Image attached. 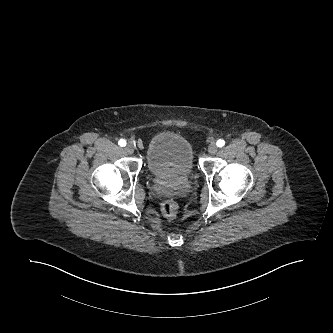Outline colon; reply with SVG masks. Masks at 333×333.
Instances as JSON below:
<instances>
[{"mask_svg":"<svg viewBox=\"0 0 333 333\" xmlns=\"http://www.w3.org/2000/svg\"><path fill=\"white\" fill-rule=\"evenodd\" d=\"M162 212L167 218H175L179 212V206L174 200H167L162 204Z\"/></svg>","mask_w":333,"mask_h":333,"instance_id":"5ec220e1","label":"colon"}]
</instances>
